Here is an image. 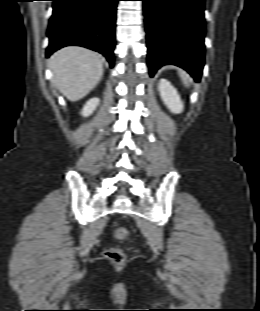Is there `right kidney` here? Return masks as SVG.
<instances>
[{"mask_svg": "<svg viewBox=\"0 0 260 311\" xmlns=\"http://www.w3.org/2000/svg\"><path fill=\"white\" fill-rule=\"evenodd\" d=\"M98 103H99L98 98H92L89 101H87L82 109L81 112L82 116L88 117L89 115H91L93 111L96 109Z\"/></svg>", "mask_w": 260, "mask_h": 311, "instance_id": "right-kidney-1", "label": "right kidney"}]
</instances>
